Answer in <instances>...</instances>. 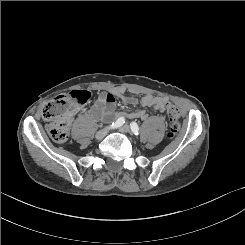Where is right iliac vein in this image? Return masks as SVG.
I'll list each match as a JSON object with an SVG mask.
<instances>
[{"mask_svg":"<svg viewBox=\"0 0 245 245\" xmlns=\"http://www.w3.org/2000/svg\"><path fill=\"white\" fill-rule=\"evenodd\" d=\"M108 132H109V129H107V128L102 129V130L97 132L95 137L97 140H101L107 135Z\"/></svg>","mask_w":245,"mask_h":245,"instance_id":"1","label":"right iliac vein"}]
</instances>
